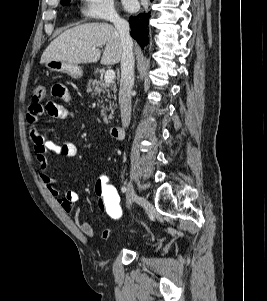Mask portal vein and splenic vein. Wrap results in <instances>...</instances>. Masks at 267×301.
<instances>
[{
  "mask_svg": "<svg viewBox=\"0 0 267 301\" xmlns=\"http://www.w3.org/2000/svg\"><path fill=\"white\" fill-rule=\"evenodd\" d=\"M114 78H115V72L112 69H108L104 75L105 83L113 82Z\"/></svg>",
  "mask_w": 267,
  "mask_h": 301,
  "instance_id": "portal-vein-and-splenic-vein-1",
  "label": "portal vein and splenic vein"
}]
</instances>
